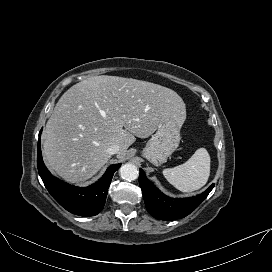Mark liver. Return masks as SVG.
Segmentation results:
<instances>
[{
    "instance_id": "1",
    "label": "liver",
    "mask_w": 272,
    "mask_h": 272,
    "mask_svg": "<svg viewBox=\"0 0 272 272\" xmlns=\"http://www.w3.org/2000/svg\"><path fill=\"white\" fill-rule=\"evenodd\" d=\"M170 118L182 126L186 107L167 87L118 76L87 78L57 102L43 135L44 161L67 182L85 181L110 159V146L119 145L122 159L135 137H149Z\"/></svg>"
}]
</instances>
